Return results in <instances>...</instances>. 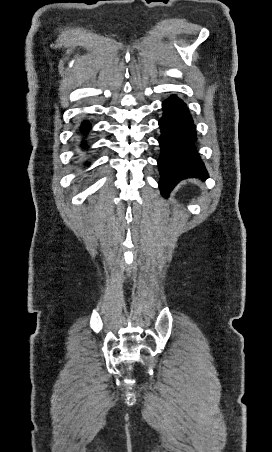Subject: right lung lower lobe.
Instances as JSON below:
<instances>
[{
	"label": "right lung lower lobe",
	"mask_w": 272,
	"mask_h": 452,
	"mask_svg": "<svg viewBox=\"0 0 272 452\" xmlns=\"http://www.w3.org/2000/svg\"><path fill=\"white\" fill-rule=\"evenodd\" d=\"M90 130V123L88 121H85L82 123L81 127H80V131L82 132V134H86L87 132H89ZM87 145L85 143L82 144V147H86Z\"/></svg>",
	"instance_id": "98d812e1"
}]
</instances>
